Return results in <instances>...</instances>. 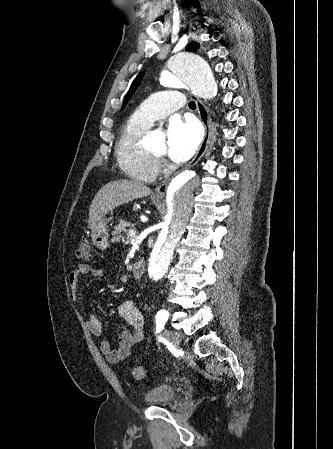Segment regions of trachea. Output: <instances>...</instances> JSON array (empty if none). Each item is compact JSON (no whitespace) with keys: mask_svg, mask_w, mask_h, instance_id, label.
Returning a JSON list of instances; mask_svg holds the SVG:
<instances>
[{"mask_svg":"<svg viewBox=\"0 0 333 449\" xmlns=\"http://www.w3.org/2000/svg\"><path fill=\"white\" fill-rule=\"evenodd\" d=\"M189 108L190 109H195L196 108V104L194 101L189 102Z\"/></svg>","mask_w":333,"mask_h":449,"instance_id":"obj_1","label":"trachea"}]
</instances>
